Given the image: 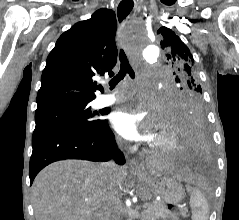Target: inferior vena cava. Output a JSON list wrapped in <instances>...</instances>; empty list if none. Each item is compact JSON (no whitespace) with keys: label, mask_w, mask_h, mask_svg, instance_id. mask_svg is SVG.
Returning a JSON list of instances; mask_svg holds the SVG:
<instances>
[{"label":"inferior vena cava","mask_w":239,"mask_h":220,"mask_svg":"<svg viewBox=\"0 0 239 220\" xmlns=\"http://www.w3.org/2000/svg\"><path fill=\"white\" fill-rule=\"evenodd\" d=\"M116 169H117V165L113 161L106 162L103 165V172L105 173L108 184L113 188L115 187L113 183V174Z\"/></svg>","instance_id":"602c4592"}]
</instances>
